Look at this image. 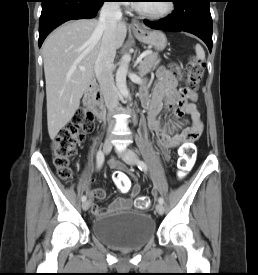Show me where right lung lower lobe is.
Wrapping results in <instances>:
<instances>
[{"label":"right lung lower lobe","mask_w":258,"mask_h":275,"mask_svg":"<svg viewBox=\"0 0 258 275\" xmlns=\"http://www.w3.org/2000/svg\"><path fill=\"white\" fill-rule=\"evenodd\" d=\"M105 0H42L39 19V47L47 35L72 19L93 18Z\"/></svg>","instance_id":"98d812e1"}]
</instances>
